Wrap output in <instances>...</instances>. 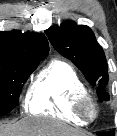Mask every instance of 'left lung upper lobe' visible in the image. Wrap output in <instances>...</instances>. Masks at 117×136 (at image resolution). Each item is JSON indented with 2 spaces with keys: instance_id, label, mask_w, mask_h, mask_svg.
I'll return each instance as SVG.
<instances>
[{
  "instance_id": "5c2ea615",
  "label": "left lung upper lobe",
  "mask_w": 117,
  "mask_h": 136,
  "mask_svg": "<svg viewBox=\"0 0 117 136\" xmlns=\"http://www.w3.org/2000/svg\"><path fill=\"white\" fill-rule=\"evenodd\" d=\"M53 47L70 59L84 74L88 82L99 85L97 93L101 101L109 100L104 92L108 81V66L102 47L88 26L67 21L60 27L53 26L46 31Z\"/></svg>"
}]
</instances>
